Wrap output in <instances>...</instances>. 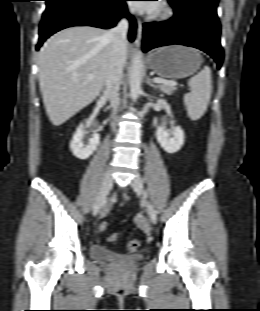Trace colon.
Wrapping results in <instances>:
<instances>
[{"label":"colon","mask_w":260,"mask_h":311,"mask_svg":"<svg viewBox=\"0 0 260 311\" xmlns=\"http://www.w3.org/2000/svg\"><path fill=\"white\" fill-rule=\"evenodd\" d=\"M107 228H108V222H102L100 224V230L101 231H105ZM118 238H119V235L117 233H113L108 237V241L109 242H116L118 240ZM139 246H140V242L136 239L130 240L128 242V245H127L128 249L131 252L138 250Z\"/></svg>","instance_id":"1"}]
</instances>
